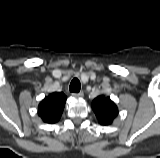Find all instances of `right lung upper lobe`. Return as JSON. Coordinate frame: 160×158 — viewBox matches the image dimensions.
I'll list each match as a JSON object with an SVG mask.
<instances>
[{
	"instance_id": "1",
	"label": "right lung upper lobe",
	"mask_w": 160,
	"mask_h": 158,
	"mask_svg": "<svg viewBox=\"0 0 160 158\" xmlns=\"http://www.w3.org/2000/svg\"><path fill=\"white\" fill-rule=\"evenodd\" d=\"M67 97L62 92H54L45 97L38 107V115L46 123L57 122L63 112Z\"/></svg>"
}]
</instances>
